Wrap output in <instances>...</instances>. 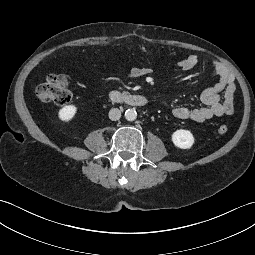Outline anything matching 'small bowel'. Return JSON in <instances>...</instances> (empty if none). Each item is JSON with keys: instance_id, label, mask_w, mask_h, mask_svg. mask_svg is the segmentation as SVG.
<instances>
[{"instance_id": "obj_1", "label": "small bowel", "mask_w": 255, "mask_h": 255, "mask_svg": "<svg viewBox=\"0 0 255 255\" xmlns=\"http://www.w3.org/2000/svg\"><path fill=\"white\" fill-rule=\"evenodd\" d=\"M198 63V56L192 54L179 60L176 67L181 71H189L194 69ZM213 68L219 80L214 86L202 92L201 101L204 106L195 108L175 107L172 109L174 117L201 123L214 117L231 115L234 112V96L236 91L234 75L221 61H214ZM150 73V68H136L130 72V76L140 77ZM162 104L166 106L165 102H162Z\"/></svg>"}]
</instances>
